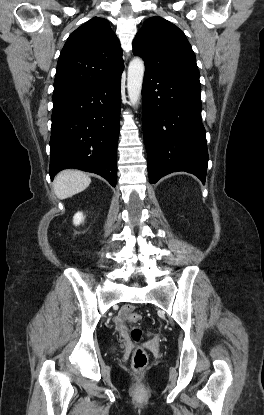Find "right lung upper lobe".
Listing matches in <instances>:
<instances>
[{
    "instance_id": "1",
    "label": "right lung upper lobe",
    "mask_w": 264,
    "mask_h": 415,
    "mask_svg": "<svg viewBox=\"0 0 264 415\" xmlns=\"http://www.w3.org/2000/svg\"><path fill=\"white\" fill-rule=\"evenodd\" d=\"M124 63L106 19L94 17L68 37L57 63L53 95L114 79Z\"/></svg>"
}]
</instances>
